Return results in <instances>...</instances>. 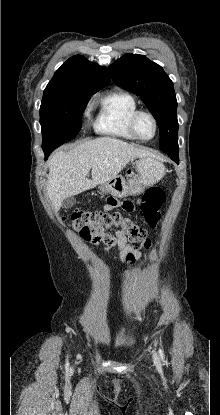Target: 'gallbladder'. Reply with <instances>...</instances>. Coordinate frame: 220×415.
I'll return each mask as SVG.
<instances>
[{
    "instance_id": "1",
    "label": "gallbladder",
    "mask_w": 220,
    "mask_h": 415,
    "mask_svg": "<svg viewBox=\"0 0 220 415\" xmlns=\"http://www.w3.org/2000/svg\"><path fill=\"white\" fill-rule=\"evenodd\" d=\"M76 203V200L74 197H68L62 202V208L69 209L73 207Z\"/></svg>"
}]
</instances>
